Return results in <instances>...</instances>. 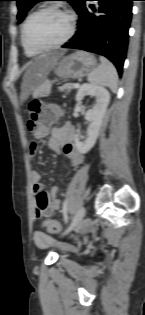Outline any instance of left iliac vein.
Wrapping results in <instances>:
<instances>
[{"mask_svg": "<svg viewBox=\"0 0 145 315\" xmlns=\"http://www.w3.org/2000/svg\"><path fill=\"white\" fill-rule=\"evenodd\" d=\"M85 213H86L85 207H80L79 210L74 215V217L72 218V221L64 234H67L70 231L78 228L85 217Z\"/></svg>", "mask_w": 145, "mask_h": 315, "instance_id": "left-iliac-vein-1", "label": "left iliac vein"}]
</instances>
